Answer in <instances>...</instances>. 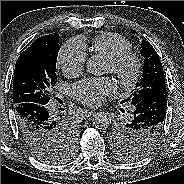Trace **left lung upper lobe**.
<instances>
[{
    "label": "left lung upper lobe",
    "mask_w": 184,
    "mask_h": 184,
    "mask_svg": "<svg viewBox=\"0 0 184 184\" xmlns=\"http://www.w3.org/2000/svg\"><path fill=\"white\" fill-rule=\"evenodd\" d=\"M131 32L134 33V30H131ZM140 53L144 57L143 76L136 83L131 95L122 100L121 103L130 101L131 104L136 106L140 101L151 95L157 93L167 95L164 71L155 49L148 41L142 40ZM129 123L130 120L117 122L110 131V139L116 155L123 160L131 161L148 154L161 135L155 142H152L157 133L156 128L150 126L133 127ZM139 141L149 142L145 150L135 149L134 145Z\"/></svg>",
    "instance_id": "obj_1"
}]
</instances>
